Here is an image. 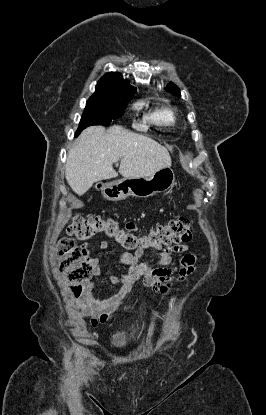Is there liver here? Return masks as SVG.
<instances>
[{
    "instance_id": "liver-1",
    "label": "liver",
    "mask_w": 266,
    "mask_h": 415,
    "mask_svg": "<svg viewBox=\"0 0 266 415\" xmlns=\"http://www.w3.org/2000/svg\"><path fill=\"white\" fill-rule=\"evenodd\" d=\"M119 160V173L124 178L149 177L172 163L167 149L147 136L120 125L107 130L103 126H90L68 152L66 180L81 196L95 182L116 178L113 163Z\"/></svg>"
}]
</instances>
